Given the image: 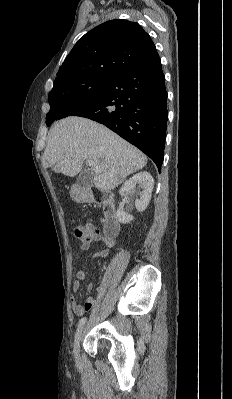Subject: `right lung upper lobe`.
<instances>
[{"label":"right lung upper lobe","mask_w":232,"mask_h":399,"mask_svg":"<svg viewBox=\"0 0 232 399\" xmlns=\"http://www.w3.org/2000/svg\"><path fill=\"white\" fill-rule=\"evenodd\" d=\"M156 52L150 36L136 22L107 21L78 40L54 80L49 95L86 79L110 78Z\"/></svg>","instance_id":"right-lung-upper-lobe-1"}]
</instances>
